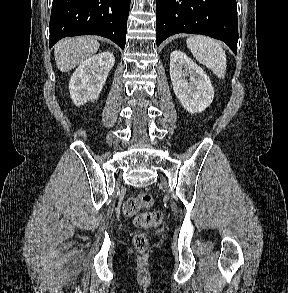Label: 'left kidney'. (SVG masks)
<instances>
[{
  "label": "left kidney",
  "instance_id": "5707ae66",
  "mask_svg": "<svg viewBox=\"0 0 288 293\" xmlns=\"http://www.w3.org/2000/svg\"><path fill=\"white\" fill-rule=\"evenodd\" d=\"M170 77L176 97L188 112H203L212 103L214 90L210 78L179 50L170 55Z\"/></svg>",
  "mask_w": 288,
  "mask_h": 293
}]
</instances>
